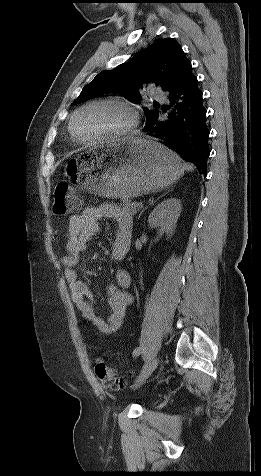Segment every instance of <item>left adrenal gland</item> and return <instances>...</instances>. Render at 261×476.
<instances>
[{"mask_svg": "<svg viewBox=\"0 0 261 476\" xmlns=\"http://www.w3.org/2000/svg\"><path fill=\"white\" fill-rule=\"evenodd\" d=\"M147 209V207H145L139 214V217L141 216V214Z\"/></svg>", "mask_w": 261, "mask_h": 476, "instance_id": "a2214340", "label": "left adrenal gland"}]
</instances>
